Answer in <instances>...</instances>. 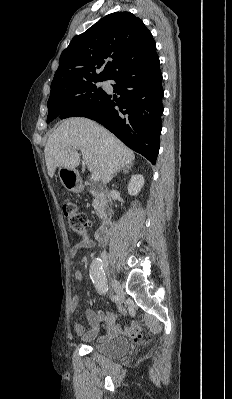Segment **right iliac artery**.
I'll list each match as a JSON object with an SVG mask.
<instances>
[{
    "label": "right iliac artery",
    "instance_id": "82829eb1",
    "mask_svg": "<svg viewBox=\"0 0 232 399\" xmlns=\"http://www.w3.org/2000/svg\"><path fill=\"white\" fill-rule=\"evenodd\" d=\"M90 278L96 288L97 292L105 295L108 291V283L103 272V260L99 257L94 258L90 265ZM118 295H112V300L117 301Z\"/></svg>",
    "mask_w": 232,
    "mask_h": 399
}]
</instances>
